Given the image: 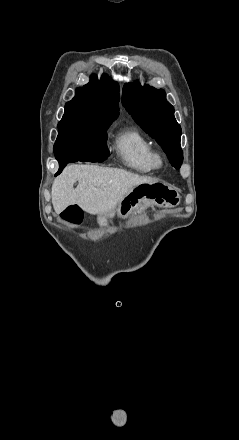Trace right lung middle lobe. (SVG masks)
I'll return each instance as SVG.
<instances>
[{
    "mask_svg": "<svg viewBox=\"0 0 239 440\" xmlns=\"http://www.w3.org/2000/svg\"><path fill=\"white\" fill-rule=\"evenodd\" d=\"M113 120L101 117H80L64 113L58 123L59 134L54 154L79 146L106 147V130Z\"/></svg>",
    "mask_w": 239,
    "mask_h": 440,
    "instance_id": "1",
    "label": "right lung middle lobe"
}]
</instances>
